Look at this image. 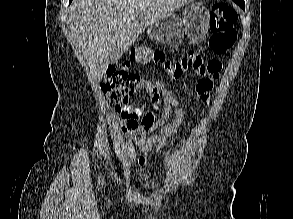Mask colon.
<instances>
[{
  "label": "colon",
  "instance_id": "obj_1",
  "mask_svg": "<svg viewBox=\"0 0 293 219\" xmlns=\"http://www.w3.org/2000/svg\"><path fill=\"white\" fill-rule=\"evenodd\" d=\"M237 19V11L226 3H217L211 8L209 46L215 54H224L234 46L237 38L235 31ZM130 62L161 66L175 81L189 72H194L201 76L198 84L200 90L209 88L213 80L219 77L222 68L219 60L214 58L205 60L196 51H190L180 59L170 60L162 51L144 45L132 49L130 59L125 65L128 66ZM141 88L140 77L126 68H108L101 84L103 93L115 104L118 113L123 112Z\"/></svg>",
  "mask_w": 293,
  "mask_h": 219
}]
</instances>
